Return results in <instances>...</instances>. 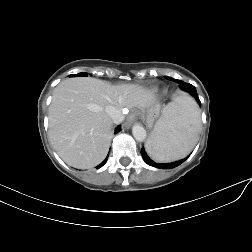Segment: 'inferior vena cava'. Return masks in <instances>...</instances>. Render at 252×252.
<instances>
[{"instance_id": "1", "label": "inferior vena cava", "mask_w": 252, "mask_h": 252, "mask_svg": "<svg viewBox=\"0 0 252 252\" xmlns=\"http://www.w3.org/2000/svg\"><path fill=\"white\" fill-rule=\"evenodd\" d=\"M106 113L112 118L114 123H119L123 120L124 116L121 113V111H119L118 109H116L113 106H107L105 108Z\"/></svg>"}]
</instances>
